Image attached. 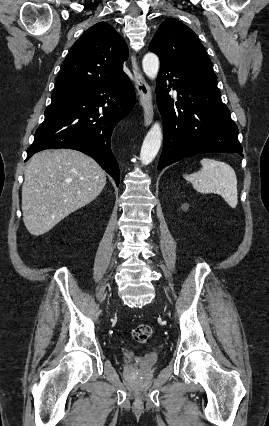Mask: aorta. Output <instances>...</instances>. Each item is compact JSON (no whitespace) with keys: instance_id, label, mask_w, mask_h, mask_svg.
Masks as SVG:
<instances>
[{"instance_id":"aorta-1","label":"aorta","mask_w":269,"mask_h":426,"mask_svg":"<svg viewBox=\"0 0 269 426\" xmlns=\"http://www.w3.org/2000/svg\"><path fill=\"white\" fill-rule=\"evenodd\" d=\"M143 71L150 79H155L159 71V58L154 53H147L142 61ZM162 141V130L156 122L148 131L140 152L142 164L148 165L156 157Z\"/></svg>"}]
</instances>
